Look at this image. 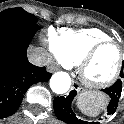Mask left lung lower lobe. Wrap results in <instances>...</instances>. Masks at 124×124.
I'll return each instance as SVG.
<instances>
[{
	"instance_id": "0a47b994",
	"label": "left lung lower lobe",
	"mask_w": 124,
	"mask_h": 124,
	"mask_svg": "<svg viewBox=\"0 0 124 124\" xmlns=\"http://www.w3.org/2000/svg\"><path fill=\"white\" fill-rule=\"evenodd\" d=\"M109 97L107 114L115 113L122 92V81L118 79L111 87L102 90ZM76 90H72L68 96L56 97L53 101V107L56 116L67 124H100L99 122H87L78 119L72 110V101L76 96Z\"/></svg>"
}]
</instances>
